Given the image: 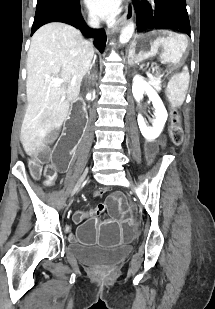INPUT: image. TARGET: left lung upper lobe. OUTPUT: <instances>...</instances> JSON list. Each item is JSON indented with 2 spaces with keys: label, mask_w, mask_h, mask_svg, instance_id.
I'll use <instances>...</instances> for the list:
<instances>
[{
  "label": "left lung upper lobe",
  "mask_w": 215,
  "mask_h": 309,
  "mask_svg": "<svg viewBox=\"0 0 215 309\" xmlns=\"http://www.w3.org/2000/svg\"><path fill=\"white\" fill-rule=\"evenodd\" d=\"M137 29H180L190 35V22L185 0H133Z\"/></svg>",
  "instance_id": "obj_1"
}]
</instances>
